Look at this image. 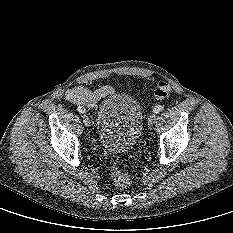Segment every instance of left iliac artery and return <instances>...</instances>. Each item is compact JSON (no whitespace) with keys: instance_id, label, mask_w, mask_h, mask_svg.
I'll return each instance as SVG.
<instances>
[{"instance_id":"1","label":"left iliac artery","mask_w":233,"mask_h":233,"mask_svg":"<svg viewBox=\"0 0 233 233\" xmlns=\"http://www.w3.org/2000/svg\"><path fill=\"white\" fill-rule=\"evenodd\" d=\"M162 110H163V106H162V105H158V106H156V107L154 108L153 112H154L155 114H157V113H159V112L162 111Z\"/></svg>"}]
</instances>
